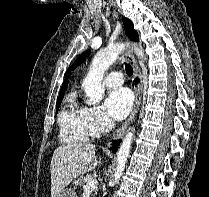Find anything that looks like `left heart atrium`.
<instances>
[{"mask_svg":"<svg viewBox=\"0 0 209 197\" xmlns=\"http://www.w3.org/2000/svg\"><path fill=\"white\" fill-rule=\"evenodd\" d=\"M133 95L128 88L120 87L111 90L105 101V108L109 115L121 120L125 118L131 110Z\"/></svg>","mask_w":209,"mask_h":197,"instance_id":"1","label":"left heart atrium"}]
</instances>
